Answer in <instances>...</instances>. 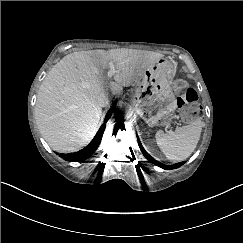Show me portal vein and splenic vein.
<instances>
[{"mask_svg":"<svg viewBox=\"0 0 243 243\" xmlns=\"http://www.w3.org/2000/svg\"><path fill=\"white\" fill-rule=\"evenodd\" d=\"M109 67H110V69H109L108 75H109V76H112V75H113L114 73H116L117 71H116V69H115L113 63H110V64H109Z\"/></svg>","mask_w":243,"mask_h":243,"instance_id":"obj_1","label":"portal vein and splenic vein"}]
</instances>
